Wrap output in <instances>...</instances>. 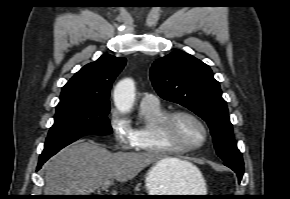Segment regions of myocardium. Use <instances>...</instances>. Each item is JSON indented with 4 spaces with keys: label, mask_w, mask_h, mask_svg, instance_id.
Masks as SVG:
<instances>
[{
    "label": "myocardium",
    "mask_w": 290,
    "mask_h": 199,
    "mask_svg": "<svg viewBox=\"0 0 290 199\" xmlns=\"http://www.w3.org/2000/svg\"><path fill=\"white\" fill-rule=\"evenodd\" d=\"M179 117H188L200 125L203 130V139L199 144L187 146L170 137L172 124L174 120ZM157 134L167 148L176 150L180 153H188L200 149L206 144L209 137L208 128L203 120L196 114L187 110H175L167 113V115L158 124Z\"/></svg>",
    "instance_id": "obj_1"
}]
</instances>
